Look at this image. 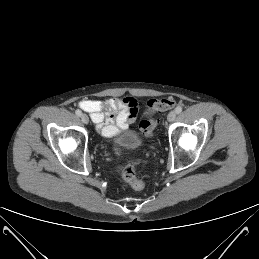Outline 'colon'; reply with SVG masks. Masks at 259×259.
I'll return each mask as SVG.
<instances>
[{
    "instance_id": "5ec220e1",
    "label": "colon",
    "mask_w": 259,
    "mask_h": 259,
    "mask_svg": "<svg viewBox=\"0 0 259 259\" xmlns=\"http://www.w3.org/2000/svg\"><path fill=\"white\" fill-rule=\"evenodd\" d=\"M176 105V101L172 97L161 99H151L147 102L145 109V117L139 124V129L145 137H152L156 128V120L153 115L157 112L167 111ZM120 176L122 180L134 190H141L145 186L144 180L138 176L135 168L126 164L120 168Z\"/></svg>"
}]
</instances>
